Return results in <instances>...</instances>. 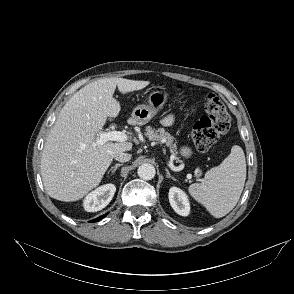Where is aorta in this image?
<instances>
[{
	"label": "aorta",
	"mask_w": 294,
	"mask_h": 294,
	"mask_svg": "<svg viewBox=\"0 0 294 294\" xmlns=\"http://www.w3.org/2000/svg\"><path fill=\"white\" fill-rule=\"evenodd\" d=\"M137 173L141 179L151 180L154 178L156 171L153 165L145 163L139 166Z\"/></svg>",
	"instance_id": "obj_1"
}]
</instances>
